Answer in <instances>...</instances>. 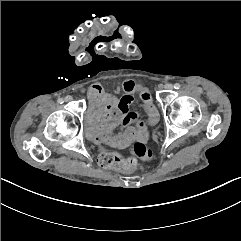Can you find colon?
<instances>
[{"label":"colon","mask_w":241,"mask_h":241,"mask_svg":"<svg viewBox=\"0 0 241 241\" xmlns=\"http://www.w3.org/2000/svg\"><path fill=\"white\" fill-rule=\"evenodd\" d=\"M132 153L138 157H142L148 160L154 158V154L142 143H136L132 146ZM134 160L130 158L121 157L117 153L106 152L101 153L97 158V163L104 169H130L134 166Z\"/></svg>","instance_id":"5ec220e1"}]
</instances>
